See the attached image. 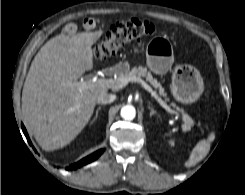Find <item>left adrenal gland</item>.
I'll return each instance as SVG.
<instances>
[{"instance_id": "left-adrenal-gland-1", "label": "left adrenal gland", "mask_w": 245, "mask_h": 195, "mask_svg": "<svg viewBox=\"0 0 245 195\" xmlns=\"http://www.w3.org/2000/svg\"><path fill=\"white\" fill-rule=\"evenodd\" d=\"M148 109L150 110V116L157 115L160 117V115L157 113V111L149 104Z\"/></svg>"}]
</instances>
